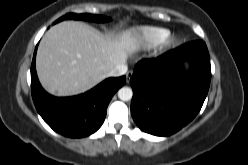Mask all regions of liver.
Masks as SVG:
<instances>
[{
    "label": "liver",
    "instance_id": "obj_1",
    "mask_svg": "<svg viewBox=\"0 0 248 165\" xmlns=\"http://www.w3.org/2000/svg\"><path fill=\"white\" fill-rule=\"evenodd\" d=\"M140 46L130 30L105 35L78 21L51 27L42 38L36 57L41 85L57 96L84 93L108 77L117 65Z\"/></svg>",
    "mask_w": 248,
    "mask_h": 165
}]
</instances>
